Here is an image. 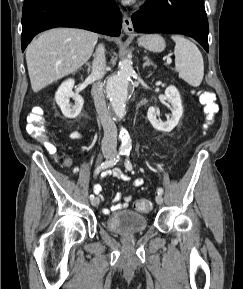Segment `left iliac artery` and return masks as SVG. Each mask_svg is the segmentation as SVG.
I'll use <instances>...</instances> for the list:
<instances>
[{"instance_id": "obj_1", "label": "left iliac artery", "mask_w": 243, "mask_h": 289, "mask_svg": "<svg viewBox=\"0 0 243 289\" xmlns=\"http://www.w3.org/2000/svg\"><path fill=\"white\" fill-rule=\"evenodd\" d=\"M124 154L128 157L129 154H130V151L127 150V151L124 152ZM125 166H126V168L128 170H132V164H131L129 159H126ZM157 193L162 195L163 194V189L162 188H158L157 189Z\"/></svg>"}]
</instances>
